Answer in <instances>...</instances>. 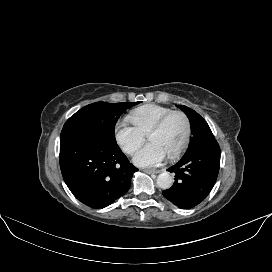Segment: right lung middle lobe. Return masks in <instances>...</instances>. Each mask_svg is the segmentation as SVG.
Wrapping results in <instances>:
<instances>
[{"mask_svg": "<svg viewBox=\"0 0 272 272\" xmlns=\"http://www.w3.org/2000/svg\"><path fill=\"white\" fill-rule=\"evenodd\" d=\"M140 102L106 103L96 102L87 105L72 115L63 129L82 128L98 133L102 137L116 142L114 128L118 118L128 108Z\"/></svg>", "mask_w": 272, "mask_h": 272, "instance_id": "right-lung-middle-lobe-1", "label": "right lung middle lobe"}]
</instances>
